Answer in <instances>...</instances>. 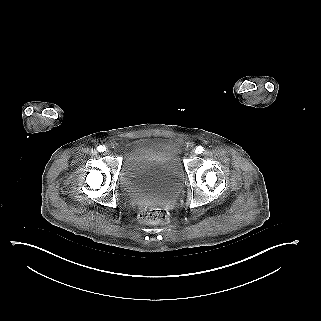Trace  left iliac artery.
<instances>
[{"instance_id": "left-iliac-artery-1", "label": "left iliac artery", "mask_w": 321, "mask_h": 321, "mask_svg": "<svg viewBox=\"0 0 321 321\" xmlns=\"http://www.w3.org/2000/svg\"><path fill=\"white\" fill-rule=\"evenodd\" d=\"M204 151L203 147L202 146H198L195 150L196 153L200 154Z\"/></svg>"}]
</instances>
